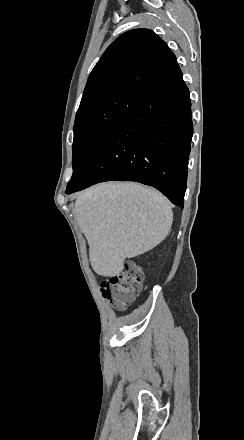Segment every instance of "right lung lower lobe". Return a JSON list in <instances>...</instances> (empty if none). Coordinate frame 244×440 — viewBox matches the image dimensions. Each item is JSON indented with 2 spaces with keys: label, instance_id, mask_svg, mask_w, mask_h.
Masks as SVG:
<instances>
[{
  "label": "right lung lower lobe",
  "instance_id": "right-lung-lower-lobe-1",
  "mask_svg": "<svg viewBox=\"0 0 244 440\" xmlns=\"http://www.w3.org/2000/svg\"><path fill=\"white\" fill-rule=\"evenodd\" d=\"M192 134L189 90L178 70L140 98L66 193L109 180L136 181L183 208Z\"/></svg>",
  "mask_w": 244,
  "mask_h": 440
}]
</instances>
